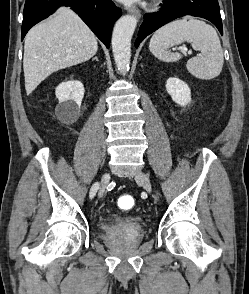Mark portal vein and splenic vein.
I'll list each match as a JSON object with an SVG mask.
<instances>
[{"instance_id": "18ae733b", "label": "portal vein and splenic vein", "mask_w": 249, "mask_h": 294, "mask_svg": "<svg viewBox=\"0 0 249 294\" xmlns=\"http://www.w3.org/2000/svg\"><path fill=\"white\" fill-rule=\"evenodd\" d=\"M184 51H187V50H186V49H184ZM188 54H190V55H191V54H192V52H191V51H188Z\"/></svg>"}]
</instances>
